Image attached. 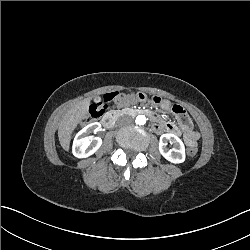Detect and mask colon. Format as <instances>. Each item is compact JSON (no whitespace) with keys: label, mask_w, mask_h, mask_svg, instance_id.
Listing matches in <instances>:
<instances>
[{"label":"colon","mask_w":250,"mask_h":250,"mask_svg":"<svg viewBox=\"0 0 250 250\" xmlns=\"http://www.w3.org/2000/svg\"><path fill=\"white\" fill-rule=\"evenodd\" d=\"M135 98L139 101L145 102L150 101L151 103H162L161 95H150V98L148 95L144 92H139L135 94ZM125 99V95L119 92H109L106 93L103 97V102L93 103L89 108V115L84 120V123H91V122H97L106 112L108 108V104L113 102H121ZM173 111L179 115V119L183 127H188L189 119L186 115H183L184 113L183 109L179 106H174ZM187 155L188 156H194L197 152V143L193 139L187 138Z\"/></svg>","instance_id":"colon-1"}]
</instances>
